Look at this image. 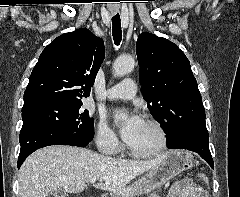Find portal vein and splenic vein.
Here are the masks:
<instances>
[{
    "label": "portal vein and splenic vein",
    "mask_w": 240,
    "mask_h": 197,
    "mask_svg": "<svg viewBox=\"0 0 240 197\" xmlns=\"http://www.w3.org/2000/svg\"><path fill=\"white\" fill-rule=\"evenodd\" d=\"M96 181H97L96 178H92V179H90V183H95Z\"/></svg>",
    "instance_id": "portal-vein-and-splenic-vein-1"
}]
</instances>
